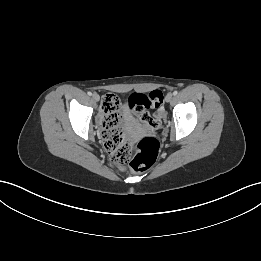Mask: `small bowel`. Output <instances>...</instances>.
Returning <instances> with one entry per match:
<instances>
[{"mask_svg":"<svg viewBox=\"0 0 261 261\" xmlns=\"http://www.w3.org/2000/svg\"><path fill=\"white\" fill-rule=\"evenodd\" d=\"M136 118L138 119V116H136ZM139 120V119H138ZM140 121V120H139ZM141 122V121H140ZM142 123V122H141ZM148 127H150L151 128V126H148Z\"/></svg>","mask_w":261,"mask_h":261,"instance_id":"1","label":"small bowel"}]
</instances>
